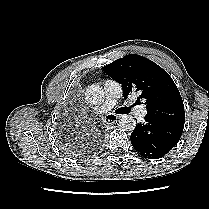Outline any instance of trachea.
I'll return each instance as SVG.
<instances>
[{"label": "trachea", "mask_w": 209, "mask_h": 209, "mask_svg": "<svg viewBox=\"0 0 209 209\" xmlns=\"http://www.w3.org/2000/svg\"><path fill=\"white\" fill-rule=\"evenodd\" d=\"M115 112H116V114H127L130 112V108L129 107H122V108L117 109ZM107 119H109V118L107 117Z\"/></svg>", "instance_id": "obj_1"}]
</instances>
